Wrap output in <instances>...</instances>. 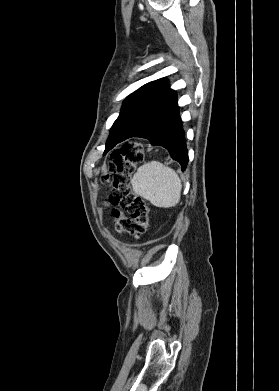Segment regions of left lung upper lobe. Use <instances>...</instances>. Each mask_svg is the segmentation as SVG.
<instances>
[{
    "label": "left lung upper lobe",
    "mask_w": 279,
    "mask_h": 391,
    "mask_svg": "<svg viewBox=\"0 0 279 391\" xmlns=\"http://www.w3.org/2000/svg\"><path fill=\"white\" fill-rule=\"evenodd\" d=\"M176 104V92L170 89L167 79L143 85L123 102L120 115L110 130L105 152L147 128Z\"/></svg>",
    "instance_id": "obj_1"
}]
</instances>
